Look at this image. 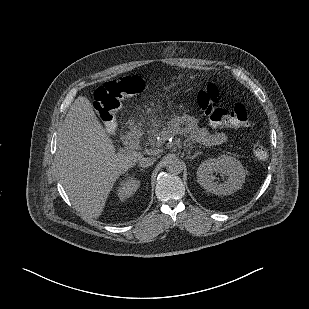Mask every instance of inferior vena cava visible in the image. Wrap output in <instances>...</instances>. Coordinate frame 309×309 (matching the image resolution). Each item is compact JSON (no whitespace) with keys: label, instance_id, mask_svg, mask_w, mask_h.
<instances>
[{"label":"inferior vena cava","instance_id":"602c4592","mask_svg":"<svg viewBox=\"0 0 309 309\" xmlns=\"http://www.w3.org/2000/svg\"><path fill=\"white\" fill-rule=\"evenodd\" d=\"M155 161H156V158H153V157H141L138 160V163L140 167L147 168L153 165Z\"/></svg>","mask_w":309,"mask_h":309}]
</instances>
